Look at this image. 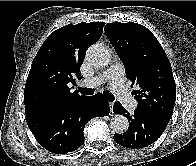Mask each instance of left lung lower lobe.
I'll use <instances>...</instances> for the list:
<instances>
[{"mask_svg": "<svg viewBox=\"0 0 196 166\" xmlns=\"http://www.w3.org/2000/svg\"><path fill=\"white\" fill-rule=\"evenodd\" d=\"M113 111L124 115L129 121V128L125 133L114 134V141L126 148L136 149L152 144L162 135L170 120L139 109H135L134 115H130L119 102H115Z\"/></svg>", "mask_w": 196, "mask_h": 166, "instance_id": "0a47b994", "label": "left lung lower lobe"}]
</instances>
